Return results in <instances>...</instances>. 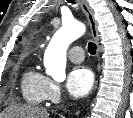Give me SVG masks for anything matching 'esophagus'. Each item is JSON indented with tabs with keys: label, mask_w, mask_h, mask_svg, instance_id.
I'll list each match as a JSON object with an SVG mask.
<instances>
[{
	"label": "esophagus",
	"mask_w": 133,
	"mask_h": 118,
	"mask_svg": "<svg viewBox=\"0 0 133 118\" xmlns=\"http://www.w3.org/2000/svg\"><path fill=\"white\" fill-rule=\"evenodd\" d=\"M79 3H80V6L82 8V11L86 15L87 20L89 22L92 37H93V39H94V41L98 47L97 55L99 56V53H100L99 32L97 29V22H96L95 17H94V12H93L92 8L89 6V3L87 0H79Z\"/></svg>",
	"instance_id": "1"
}]
</instances>
